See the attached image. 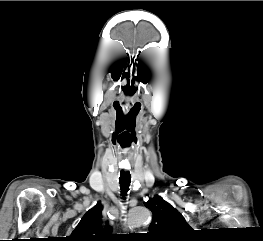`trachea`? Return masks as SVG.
I'll return each instance as SVG.
<instances>
[{"label": "trachea", "mask_w": 263, "mask_h": 241, "mask_svg": "<svg viewBox=\"0 0 263 241\" xmlns=\"http://www.w3.org/2000/svg\"><path fill=\"white\" fill-rule=\"evenodd\" d=\"M119 183H120L121 195H122L123 199H125V197L127 195V192L129 190L130 184H131V175H130V173L121 171L120 178H119Z\"/></svg>", "instance_id": "1"}]
</instances>
